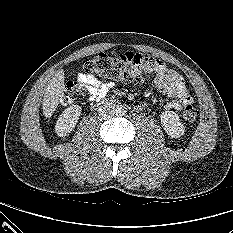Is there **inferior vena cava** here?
I'll list each match as a JSON object with an SVG mask.
<instances>
[{"label": "inferior vena cava", "instance_id": "602c4592", "mask_svg": "<svg viewBox=\"0 0 233 233\" xmlns=\"http://www.w3.org/2000/svg\"><path fill=\"white\" fill-rule=\"evenodd\" d=\"M99 111H100L101 117L106 118V117L110 116V114H112L114 110L112 109L111 106H108V107H105V109L101 108Z\"/></svg>", "mask_w": 233, "mask_h": 233}]
</instances>
